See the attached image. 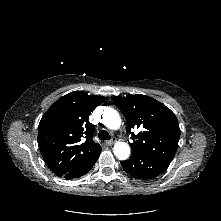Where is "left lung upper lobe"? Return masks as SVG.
<instances>
[{"label":"left lung upper lobe","mask_w":221,"mask_h":221,"mask_svg":"<svg viewBox=\"0 0 221 221\" xmlns=\"http://www.w3.org/2000/svg\"><path fill=\"white\" fill-rule=\"evenodd\" d=\"M127 121L132 154L171 162L179 141L180 128L174 113L159 101L141 94L113 97ZM138 128L135 135L132 129Z\"/></svg>","instance_id":"left-lung-upper-lobe-1"}]
</instances>
